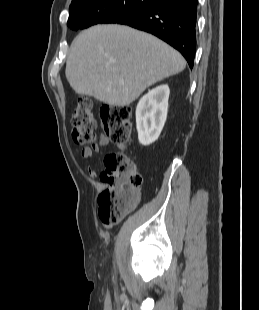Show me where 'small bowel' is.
Masks as SVG:
<instances>
[{"instance_id":"small-bowel-1","label":"small bowel","mask_w":259,"mask_h":310,"mask_svg":"<svg viewBox=\"0 0 259 310\" xmlns=\"http://www.w3.org/2000/svg\"><path fill=\"white\" fill-rule=\"evenodd\" d=\"M109 144H110V141L108 138H106L105 136H100L97 144L91 145V146H86L82 149L81 156H82V158L89 160L97 152H99L101 147L108 146ZM87 173L91 178H96V176H97V172H96L95 168L91 165H89L87 167Z\"/></svg>"}]
</instances>
